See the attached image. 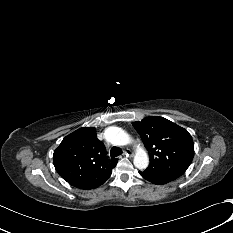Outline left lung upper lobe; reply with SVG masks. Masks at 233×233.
Here are the masks:
<instances>
[{
	"mask_svg": "<svg viewBox=\"0 0 233 233\" xmlns=\"http://www.w3.org/2000/svg\"><path fill=\"white\" fill-rule=\"evenodd\" d=\"M150 156L145 172L170 182L185 173L194 156V143L184 128L158 116L133 123Z\"/></svg>",
	"mask_w": 233,
	"mask_h": 233,
	"instance_id": "5c2ea615",
	"label": "left lung upper lobe"
}]
</instances>
